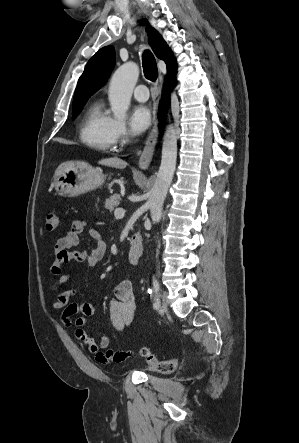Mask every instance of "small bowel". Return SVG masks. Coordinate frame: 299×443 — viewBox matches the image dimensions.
Wrapping results in <instances>:
<instances>
[{
    "instance_id": "c3829d8e",
    "label": "small bowel",
    "mask_w": 299,
    "mask_h": 443,
    "mask_svg": "<svg viewBox=\"0 0 299 443\" xmlns=\"http://www.w3.org/2000/svg\"><path fill=\"white\" fill-rule=\"evenodd\" d=\"M86 225L84 220L73 221L65 235L59 238L54 245V260L50 271L56 277L52 289L58 294L51 306L53 310L61 311V320L64 325L74 329L76 339L87 346L96 361L102 364H117L131 357L132 351L106 350L110 344L108 335L103 334L99 340H95L84 329L95 311L93 297L90 296L91 302H71L70 299L76 291L74 289L61 291L72 278L70 273L64 272V265L86 263L89 267H95L106 254V242L96 229L90 230L92 245L89 249L71 250L79 244L80 235ZM114 295L115 298L109 305L108 317L112 327L120 331L128 327L134 318L135 294L131 281L119 282L114 289ZM76 315L79 316L76 317Z\"/></svg>"
}]
</instances>
